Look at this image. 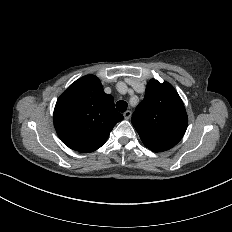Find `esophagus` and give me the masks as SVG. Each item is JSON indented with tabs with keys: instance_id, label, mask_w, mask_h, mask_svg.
I'll use <instances>...</instances> for the list:
<instances>
[{
	"instance_id": "1",
	"label": "esophagus",
	"mask_w": 232,
	"mask_h": 232,
	"mask_svg": "<svg viewBox=\"0 0 232 232\" xmlns=\"http://www.w3.org/2000/svg\"><path fill=\"white\" fill-rule=\"evenodd\" d=\"M131 115H132V112L129 111V110L125 111L124 114H123V116H124L125 119H130Z\"/></svg>"
}]
</instances>
